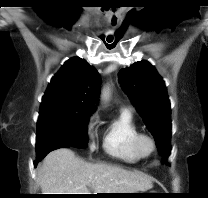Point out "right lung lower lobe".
Returning a JSON list of instances; mask_svg holds the SVG:
<instances>
[{"label": "right lung lower lobe", "mask_w": 208, "mask_h": 198, "mask_svg": "<svg viewBox=\"0 0 208 198\" xmlns=\"http://www.w3.org/2000/svg\"><path fill=\"white\" fill-rule=\"evenodd\" d=\"M67 147H69V146L68 145H58V146L54 147L51 151L58 149V148H67ZM41 159H43V158H37L38 161H40ZM35 164H37V162H35Z\"/></svg>", "instance_id": "1"}]
</instances>
